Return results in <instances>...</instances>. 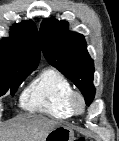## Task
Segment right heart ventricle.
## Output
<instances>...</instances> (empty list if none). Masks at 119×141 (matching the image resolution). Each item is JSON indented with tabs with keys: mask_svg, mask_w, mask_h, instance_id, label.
<instances>
[{
	"mask_svg": "<svg viewBox=\"0 0 119 141\" xmlns=\"http://www.w3.org/2000/svg\"><path fill=\"white\" fill-rule=\"evenodd\" d=\"M72 91L73 87L63 73L46 68L24 92L22 106L31 112L65 120L72 116L68 106V97Z\"/></svg>",
	"mask_w": 119,
	"mask_h": 141,
	"instance_id": "e07e8e85",
	"label": "right heart ventricle"
}]
</instances>
